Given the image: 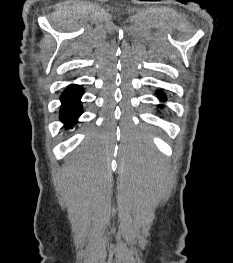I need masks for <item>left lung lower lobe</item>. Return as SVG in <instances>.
Wrapping results in <instances>:
<instances>
[{
    "label": "left lung lower lobe",
    "mask_w": 233,
    "mask_h": 263,
    "mask_svg": "<svg viewBox=\"0 0 233 263\" xmlns=\"http://www.w3.org/2000/svg\"><path fill=\"white\" fill-rule=\"evenodd\" d=\"M158 98H160L162 101H164L166 99L164 94H162V93L158 94Z\"/></svg>",
    "instance_id": "left-lung-lower-lobe-1"
}]
</instances>
